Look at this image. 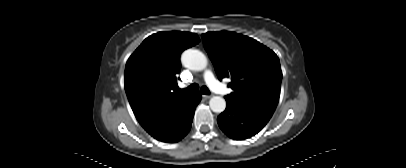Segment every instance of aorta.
<instances>
[{
	"mask_svg": "<svg viewBox=\"0 0 406 168\" xmlns=\"http://www.w3.org/2000/svg\"><path fill=\"white\" fill-rule=\"evenodd\" d=\"M181 62L184 67L193 71H202L207 66L206 56L197 49H187L181 55ZM211 110L221 113L226 108V101L223 97L213 96L209 101Z\"/></svg>",
	"mask_w": 406,
	"mask_h": 168,
	"instance_id": "1",
	"label": "aorta"
}]
</instances>
